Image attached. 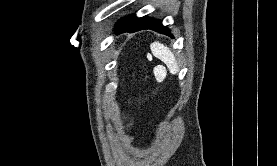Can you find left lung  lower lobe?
<instances>
[{
  "instance_id": "obj_1",
  "label": "left lung lower lobe",
  "mask_w": 277,
  "mask_h": 166,
  "mask_svg": "<svg viewBox=\"0 0 277 166\" xmlns=\"http://www.w3.org/2000/svg\"><path fill=\"white\" fill-rule=\"evenodd\" d=\"M144 29H152L158 33L172 36L169 33V29L162 25L160 20H154L151 18H137L135 15H130L119 20L116 24V34L123 32H136Z\"/></svg>"
}]
</instances>
